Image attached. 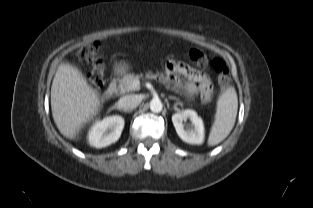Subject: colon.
<instances>
[{"label": "colon", "mask_w": 313, "mask_h": 208, "mask_svg": "<svg viewBox=\"0 0 313 208\" xmlns=\"http://www.w3.org/2000/svg\"><path fill=\"white\" fill-rule=\"evenodd\" d=\"M99 49L100 44L96 41L90 45L84 46L79 50V56L82 59L89 60L94 64V69L90 73L89 78L92 83L97 87H101L104 83L103 70L99 57ZM190 58L194 63L201 66L208 63L207 56L198 49H192L190 51ZM210 63L217 73L218 83L220 85H226L230 80L229 70L226 64L218 58L212 59Z\"/></svg>", "instance_id": "1"}]
</instances>
